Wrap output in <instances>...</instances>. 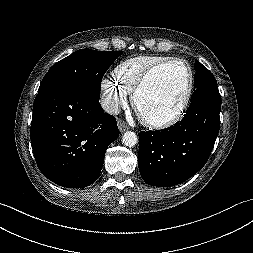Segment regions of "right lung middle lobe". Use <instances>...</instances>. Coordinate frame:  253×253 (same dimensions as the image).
Masks as SVG:
<instances>
[{"label": "right lung middle lobe", "mask_w": 253, "mask_h": 253, "mask_svg": "<svg viewBox=\"0 0 253 253\" xmlns=\"http://www.w3.org/2000/svg\"><path fill=\"white\" fill-rule=\"evenodd\" d=\"M122 51L80 49L53 65L38 92L50 87L72 88L100 98L103 75Z\"/></svg>", "instance_id": "1"}]
</instances>
